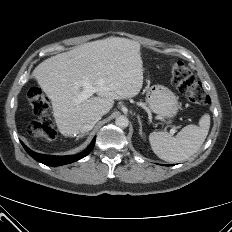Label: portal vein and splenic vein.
I'll use <instances>...</instances> for the list:
<instances>
[{
  "instance_id": "obj_1",
  "label": "portal vein and splenic vein",
  "mask_w": 232,
  "mask_h": 232,
  "mask_svg": "<svg viewBox=\"0 0 232 232\" xmlns=\"http://www.w3.org/2000/svg\"><path fill=\"white\" fill-rule=\"evenodd\" d=\"M81 86L83 87V91L75 99L76 103H80V102H83V101L87 100L88 98H90L96 92V89L87 82H83L81 84ZM175 132H176L175 128H172L170 130L171 135H174Z\"/></svg>"
}]
</instances>
